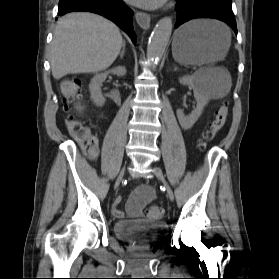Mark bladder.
<instances>
[{
  "label": "bladder",
  "mask_w": 279,
  "mask_h": 279,
  "mask_svg": "<svg viewBox=\"0 0 279 279\" xmlns=\"http://www.w3.org/2000/svg\"><path fill=\"white\" fill-rule=\"evenodd\" d=\"M167 233V224L147 219L124 220L114 225V234L118 239L142 246L160 243Z\"/></svg>",
  "instance_id": "1"
}]
</instances>
